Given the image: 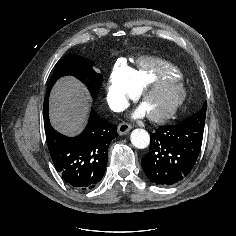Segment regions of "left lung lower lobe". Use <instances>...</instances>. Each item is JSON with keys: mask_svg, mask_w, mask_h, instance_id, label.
Instances as JSON below:
<instances>
[{"mask_svg": "<svg viewBox=\"0 0 236 236\" xmlns=\"http://www.w3.org/2000/svg\"><path fill=\"white\" fill-rule=\"evenodd\" d=\"M204 128L180 123L160 126L151 133L149 152L142 168L151 182L172 185L192 170L199 155Z\"/></svg>", "mask_w": 236, "mask_h": 236, "instance_id": "obj_1", "label": "left lung lower lobe"}]
</instances>
